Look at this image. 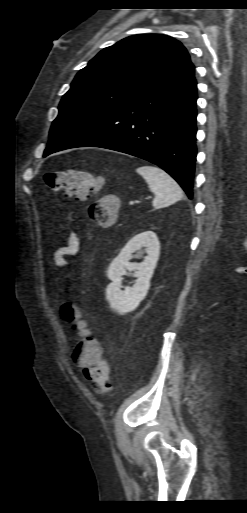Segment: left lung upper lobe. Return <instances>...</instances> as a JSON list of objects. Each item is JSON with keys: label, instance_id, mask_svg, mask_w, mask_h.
Here are the masks:
<instances>
[{"label": "left lung upper lobe", "instance_id": "1", "mask_svg": "<svg viewBox=\"0 0 247 513\" xmlns=\"http://www.w3.org/2000/svg\"><path fill=\"white\" fill-rule=\"evenodd\" d=\"M191 63L186 48L160 34L127 37L100 51L63 96L44 156L97 120L168 81Z\"/></svg>", "mask_w": 247, "mask_h": 513}]
</instances>
